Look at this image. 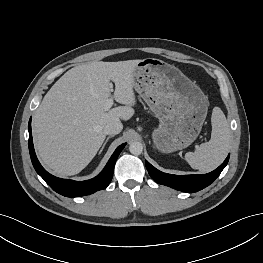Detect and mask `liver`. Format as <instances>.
I'll return each mask as SVG.
<instances>
[{
	"mask_svg": "<svg viewBox=\"0 0 263 263\" xmlns=\"http://www.w3.org/2000/svg\"><path fill=\"white\" fill-rule=\"evenodd\" d=\"M139 60L94 61L68 70L37 108L33 133L43 163L60 176L81 172L103 144L104 127L129 120L135 113L133 72ZM125 106L105 110L112 98Z\"/></svg>",
	"mask_w": 263,
	"mask_h": 263,
	"instance_id": "1",
	"label": "liver"
}]
</instances>
